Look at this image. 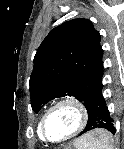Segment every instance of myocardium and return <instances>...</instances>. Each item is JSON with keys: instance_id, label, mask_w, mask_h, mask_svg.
Here are the masks:
<instances>
[{"instance_id": "myocardium-1", "label": "myocardium", "mask_w": 124, "mask_h": 149, "mask_svg": "<svg viewBox=\"0 0 124 149\" xmlns=\"http://www.w3.org/2000/svg\"><path fill=\"white\" fill-rule=\"evenodd\" d=\"M65 106H70L72 107L77 114L78 117V123L77 126L75 127V129L68 134L66 137H64L63 139L60 140H52L47 136L46 133V121L48 119V117L50 116V114L55 111L58 108L61 107H65ZM88 118H89V114H88V110L86 108V106L78 99L76 98H64L58 102H56L55 104H53L43 115L41 122H40V134L42 139H44L45 141L52 143V144H61V143H65L69 140H71L72 138L76 137L78 134H80L84 128L87 125L88 122Z\"/></svg>"}]
</instances>
